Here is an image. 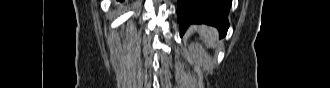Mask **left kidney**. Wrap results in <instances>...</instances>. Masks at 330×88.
Returning a JSON list of instances; mask_svg holds the SVG:
<instances>
[{"mask_svg":"<svg viewBox=\"0 0 330 88\" xmlns=\"http://www.w3.org/2000/svg\"><path fill=\"white\" fill-rule=\"evenodd\" d=\"M189 51L195 65L201 67L203 70H208L211 67V59L202 45L198 43H191L189 46Z\"/></svg>","mask_w":330,"mask_h":88,"instance_id":"5707ae66","label":"left kidney"}]
</instances>
